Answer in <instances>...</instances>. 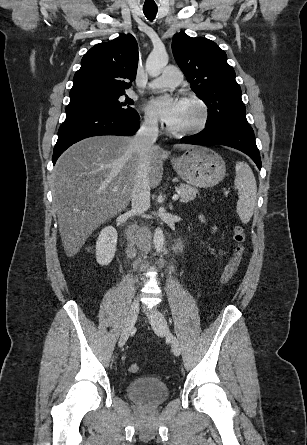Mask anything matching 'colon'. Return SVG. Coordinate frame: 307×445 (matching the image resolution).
I'll return each mask as SVG.
<instances>
[{"instance_id":"colon-1","label":"colon","mask_w":307,"mask_h":445,"mask_svg":"<svg viewBox=\"0 0 307 445\" xmlns=\"http://www.w3.org/2000/svg\"><path fill=\"white\" fill-rule=\"evenodd\" d=\"M232 237L234 241V249L221 278L223 284L228 283L235 275L245 250L246 234L242 226L238 225L233 229ZM128 370L130 373H138L140 367L138 364L132 363L129 365Z\"/></svg>"}]
</instances>
